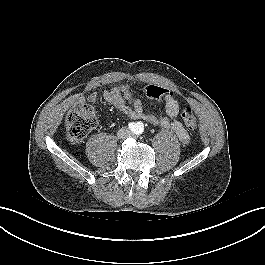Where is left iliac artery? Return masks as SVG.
<instances>
[{"label":"left iliac artery","instance_id":"obj_1","mask_svg":"<svg viewBox=\"0 0 265 265\" xmlns=\"http://www.w3.org/2000/svg\"><path fill=\"white\" fill-rule=\"evenodd\" d=\"M143 131H144L143 124L141 122H138V127H137V130H136V133L137 134H141Z\"/></svg>","mask_w":265,"mask_h":265}]
</instances>
